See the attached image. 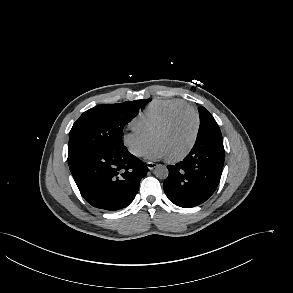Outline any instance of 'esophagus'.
Instances as JSON below:
<instances>
[{
    "instance_id": "34e87169",
    "label": "esophagus",
    "mask_w": 293,
    "mask_h": 293,
    "mask_svg": "<svg viewBox=\"0 0 293 293\" xmlns=\"http://www.w3.org/2000/svg\"><path fill=\"white\" fill-rule=\"evenodd\" d=\"M156 166H157L156 163H153V162H148L147 163V167H148L149 170H153Z\"/></svg>"
}]
</instances>
